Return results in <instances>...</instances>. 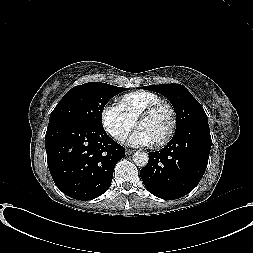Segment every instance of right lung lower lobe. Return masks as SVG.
I'll return each mask as SVG.
<instances>
[{
	"label": "right lung lower lobe",
	"mask_w": 253,
	"mask_h": 253,
	"mask_svg": "<svg viewBox=\"0 0 253 253\" xmlns=\"http://www.w3.org/2000/svg\"><path fill=\"white\" fill-rule=\"evenodd\" d=\"M45 146L51 176L66 195L92 200L110 186L116 163L124 148L103 127L77 120L48 125Z\"/></svg>",
	"instance_id": "right-lung-lower-lobe-1"
}]
</instances>
